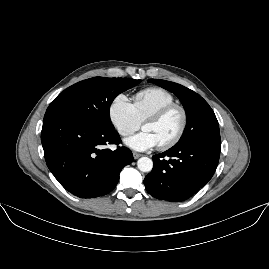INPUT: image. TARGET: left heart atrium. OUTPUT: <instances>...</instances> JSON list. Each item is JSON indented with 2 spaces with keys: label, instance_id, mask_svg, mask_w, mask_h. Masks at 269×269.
I'll use <instances>...</instances> for the list:
<instances>
[{
  "label": "left heart atrium",
  "instance_id": "39dd6f15",
  "mask_svg": "<svg viewBox=\"0 0 269 269\" xmlns=\"http://www.w3.org/2000/svg\"><path fill=\"white\" fill-rule=\"evenodd\" d=\"M125 143L132 149L137 151H143L152 149L158 146L156 140L152 134L148 131H143L128 138Z\"/></svg>",
  "mask_w": 269,
  "mask_h": 269
}]
</instances>
